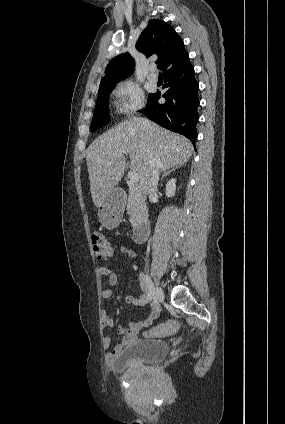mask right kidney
I'll list each match as a JSON object with an SVG mask.
<instances>
[{"label": "right kidney", "instance_id": "1", "mask_svg": "<svg viewBox=\"0 0 285 424\" xmlns=\"http://www.w3.org/2000/svg\"><path fill=\"white\" fill-rule=\"evenodd\" d=\"M176 191V179H170L166 184L165 193L167 197H173Z\"/></svg>", "mask_w": 285, "mask_h": 424}]
</instances>
